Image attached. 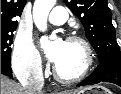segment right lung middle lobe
<instances>
[{"mask_svg": "<svg viewBox=\"0 0 121 94\" xmlns=\"http://www.w3.org/2000/svg\"><path fill=\"white\" fill-rule=\"evenodd\" d=\"M13 31H1V60H10L11 44L13 43Z\"/></svg>", "mask_w": 121, "mask_h": 94, "instance_id": "dd1d6c3e", "label": "right lung middle lobe"}]
</instances>
